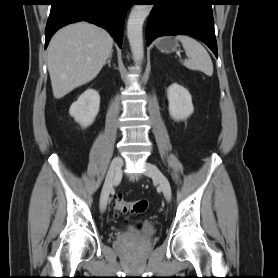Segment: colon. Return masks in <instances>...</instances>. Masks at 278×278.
Here are the masks:
<instances>
[{
	"label": "colon",
	"instance_id": "colon-1",
	"mask_svg": "<svg viewBox=\"0 0 278 278\" xmlns=\"http://www.w3.org/2000/svg\"><path fill=\"white\" fill-rule=\"evenodd\" d=\"M114 207L118 214H141L148 208V201L140 199L134 202H128L121 198H117Z\"/></svg>",
	"mask_w": 278,
	"mask_h": 278
}]
</instances>
